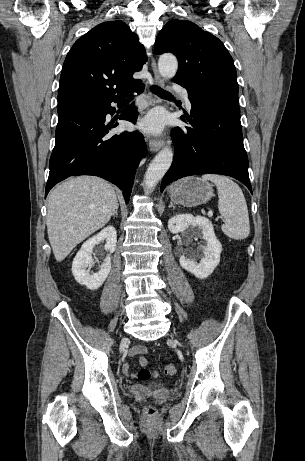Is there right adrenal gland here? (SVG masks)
I'll list each match as a JSON object with an SVG mask.
<instances>
[{
	"mask_svg": "<svg viewBox=\"0 0 305 461\" xmlns=\"http://www.w3.org/2000/svg\"><path fill=\"white\" fill-rule=\"evenodd\" d=\"M118 208H119V204L117 205V207H116V209H115V211H114V213L112 215L113 217L118 216Z\"/></svg>",
	"mask_w": 305,
	"mask_h": 461,
	"instance_id": "obj_1",
	"label": "right adrenal gland"
}]
</instances>
